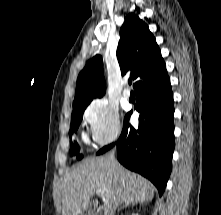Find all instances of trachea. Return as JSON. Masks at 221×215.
Masks as SVG:
<instances>
[{"label": "trachea", "instance_id": "obj_1", "mask_svg": "<svg viewBox=\"0 0 221 215\" xmlns=\"http://www.w3.org/2000/svg\"><path fill=\"white\" fill-rule=\"evenodd\" d=\"M128 83H129V85H131L132 84V79H129Z\"/></svg>", "mask_w": 221, "mask_h": 215}]
</instances>
